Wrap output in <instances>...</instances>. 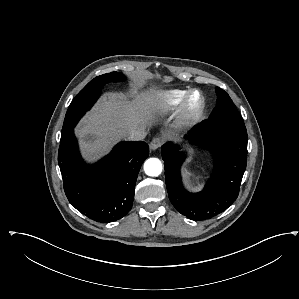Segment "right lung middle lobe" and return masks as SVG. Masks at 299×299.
<instances>
[{
  "instance_id": "obj_1",
  "label": "right lung middle lobe",
  "mask_w": 299,
  "mask_h": 299,
  "mask_svg": "<svg viewBox=\"0 0 299 299\" xmlns=\"http://www.w3.org/2000/svg\"><path fill=\"white\" fill-rule=\"evenodd\" d=\"M124 79L122 73L112 72L98 76L91 80L73 99L66 113L64 124L61 132V138L66 137L69 132L73 131L80 118L96 102L101 94L104 84L108 82H117Z\"/></svg>"
}]
</instances>
